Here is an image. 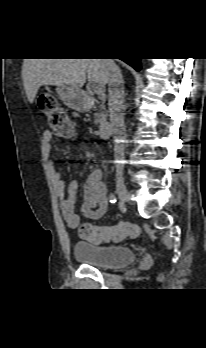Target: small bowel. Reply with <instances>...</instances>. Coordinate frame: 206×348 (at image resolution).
I'll use <instances>...</instances> for the list:
<instances>
[{
	"instance_id": "c3829d8e",
	"label": "small bowel",
	"mask_w": 206,
	"mask_h": 348,
	"mask_svg": "<svg viewBox=\"0 0 206 348\" xmlns=\"http://www.w3.org/2000/svg\"><path fill=\"white\" fill-rule=\"evenodd\" d=\"M52 136L45 131L42 136V143L49 160V170L55 186L57 195L60 198V209L62 216L70 228H79L84 224L81 216L76 212V204L79 194V186L76 182H70L67 186L50 158L52 150ZM109 201L106 195V187L101 178L99 170L91 172L83 185V201L80 205V214L89 220L100 219L108 210Z\"/></svg>"
}]
</instances>
